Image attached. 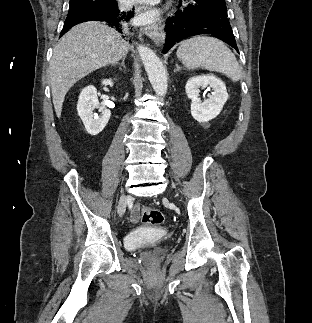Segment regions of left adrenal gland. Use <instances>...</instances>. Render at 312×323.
Segmentation results:
<instances>
[{
  "mask_svg": "<svg viewBox=\"0 0 312 323\" xmlns=\"http://www.w3.org/2000/svg\"><path fill=\"white\" fill-rule=\"evenodd\" d=\"M179 70H181V68L178 66V64H176V70H174V72H179Z\"/></svg>",
  "mask_w": 312,
  "mask_h": 323,
  "instance_id": "left-adrenal-gland-1",
  "label": "left adrenal gland"
}]
</instances>
